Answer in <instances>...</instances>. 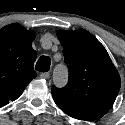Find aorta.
<instances>
[{"label": "aorta", "mask_w": 125, "mask_h": 125, "mask_svg": "<svg viewBox=\"0 0 125 125\" xmlns=\"http://www.w3.org/2000/svg\"><path fill=\"white\" fill-rule=\"evenodd\" d=\"M66 79V74L63 72H60V71H56L55 74H54V81L56 84L60 85L62 84Z\"/></svg>", "instance_id": "762f6f07"}]
</instances>
